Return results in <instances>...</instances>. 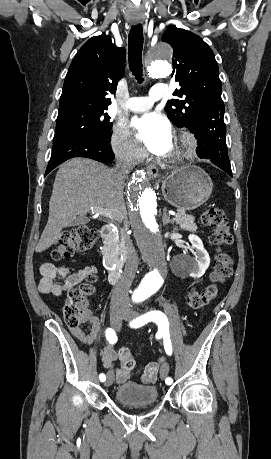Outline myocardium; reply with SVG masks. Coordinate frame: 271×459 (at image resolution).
I'll list each match as a JSON object with an SVG mask.
<instances>
[{"label":"myocardium","mask_w":271,"mask_h":459,"mask_svg":"<svg viewBox=\"0 0 271 459\" xmlns=\"http://www.w3.org/2000/svg\"><path fill=\"white\" fill-rule=\"evenodd\" d=\"M179 153H180L179 143L177 142L175 138H172L170 150L166 153L159 154L158 157L161 159H165V160H173L179 156Z\"/></svg>","instance_id":"f54148a6"}]
</instances>
